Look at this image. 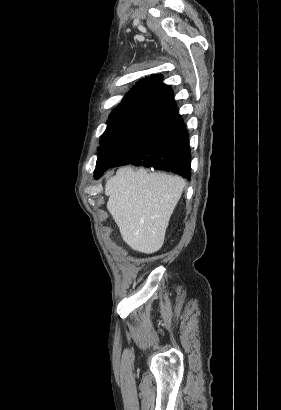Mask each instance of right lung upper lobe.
I'll return each mask as SVG.
<instances>
[{
	"instance_id": "1",
	"label": "right lung upper lobe",
	"mask_w": 281,
	"mask_h": 410,
	"mask_svg": "<svg viewBox=\"0 0 281 410\" xmlns=\"http://www.w3.org/2000/svg\"><path fill=\"white\" fill-rule=\"evenodd\" d=\"M161 75H150L142 78L131 91L122 99L121 105H147L168 111L173 110L176 104L173 100L172 89L162 82Z\"/></svg>"
}]
</instances>
